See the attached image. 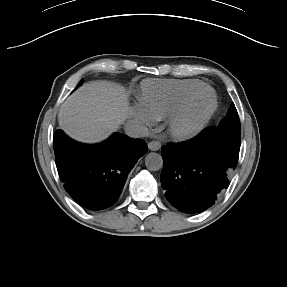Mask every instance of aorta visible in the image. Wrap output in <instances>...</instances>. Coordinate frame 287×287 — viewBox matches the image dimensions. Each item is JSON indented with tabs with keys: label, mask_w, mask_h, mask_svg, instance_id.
Masks as SVG:
<instances>
[{
	"label": "aorta",
	"mask_w": 287,
	"mask_h": 287,
	"mask_svg": "<svg viewBox=\"0 0 287 287\" xmlns=\"http://www.w3.org/2000/svg\"><path fill=\"white\" fill-rule=\"evenodd\" d=\"M145 165L150 171H158L163 166V159L159 153L150 152L145 157Z\"/></svg>",
	"instance_id": "762f6f07"
}]
</instances>
